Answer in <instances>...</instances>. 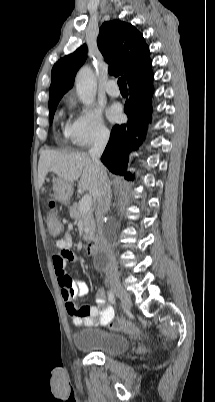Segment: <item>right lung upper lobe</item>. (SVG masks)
<instances>
[{
  "mask_svg": "<svg viewBox=\"0 0 215 402\" xmlns=\"http://www.w3.org/2000/svg\"><path fill=\"white\" fill-rule=\"evenodd\" d=\"M97 44L109 63L108 72L111 75L125 74L128 85L152 74L149 47L143 35L130 23L106 21L100 27ZM86 58L87 46L84 44L53 66L49 101L61 98L72 88L75 75Z\"/></svg>",
  "mask_w": 215,
  "mask_h": 402,
  "instance_id": "obj_1",
  "label": "right lung upper lobe"
}]
</instances>
